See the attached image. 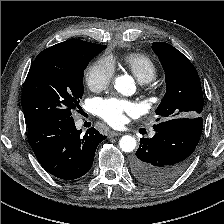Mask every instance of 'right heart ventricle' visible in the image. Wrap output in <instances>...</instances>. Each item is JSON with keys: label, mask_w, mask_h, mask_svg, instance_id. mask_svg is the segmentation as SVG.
I'll return each instance as SVG.
<instances>
[{"label": "right heart ventricle", "mask_w": 224, "mask_h": 224, "mask_svg": "<svg viewBox=\"0 0 224 224\" xmlns=\"http://www.w3.org/2000/svg\"><path fill=\"white\" fill-rule=\"evenodd\" d=\"M122 63L142 83L151 81L157 75L155 62L143 53H126Z\"/></svg>", "instance_id": "1"}]
</instances>
